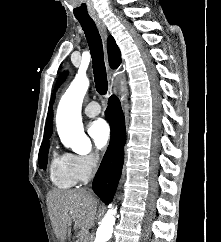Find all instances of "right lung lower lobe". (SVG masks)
I'll list each match as a JSON object with an SVG mask.
<instances>
[{
  "label": "right lung lower lobe",
  "mask_w": 221,
  "mask_h": 242,
  "mask_svg": "<svg viewBox=\"0 0 221 242\" xmlns=\"http://www.w3.org/2000/svg\"><path fill=\"white\" fill-rule=\"evenodd\" d=\"M106 116L111 125V139L92 188L104 203L109 204L121 176L126 140L124 115L117 97L109 98Z\"/></svg>",
  "instance_id": "98d812e1"
}]
</instances>
